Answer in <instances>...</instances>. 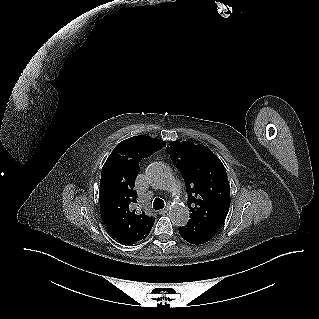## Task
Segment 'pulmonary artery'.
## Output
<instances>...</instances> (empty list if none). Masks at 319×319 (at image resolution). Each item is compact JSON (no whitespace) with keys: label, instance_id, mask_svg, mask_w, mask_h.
I'll list each match as a JSON object with an SVG mask.
<instances>
[{"label":"pulmonary artery","instance_id":"pulmonary-artery-1","mask_svg":"<svg viewBox=\"0 0 319 319\" xmlns=\"http://www.w3.org/2000/svg\"><path fill=\"white\" fill-rule=\"evenodd\" d=\"M177 187H178V189H180V183L179 182H177Z\"/></svg>","mask_w":319,"mask_h":319}]
</instances>
